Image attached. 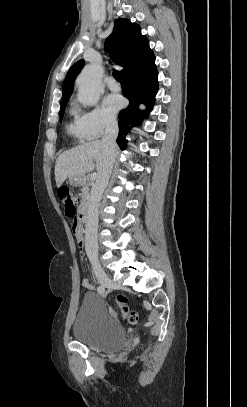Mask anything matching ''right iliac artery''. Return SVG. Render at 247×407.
Wrapping results in <instances>:
<instances>
[{
	"mask_svg": "<svg viewBox=\"0 0 247 407\" xmlns=\"http://www.w3.org/2000/svg\"><path fill=\"white\" fill-rule=\"evenodd\" d=\"M97 291H98V293H100V294H104V293L106 292L104 286H98Z\"/></svg>",
	"mask_w": 247,
	"mask_h": 407,
	"instance_id": "1",
	"label": "right iliac artery"
}]
</instances>
